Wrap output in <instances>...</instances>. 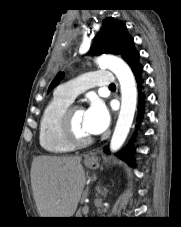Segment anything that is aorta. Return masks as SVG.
Returning a JSON list of instances; mask_svg holds the SVG:
<instances>
[{"mask_svg": "<svg viewBox=\"0 0 181 227\" xmlns=\"http://www.w3.org/2000/svg\"><path fill=\"white\" fill-rule=\"evenodd\" d=\"M97 63L111 70L120 83L121 108L110 142V150L116 152L125 142L133 122L137 104L136 82L129 66L119 57L101 55L97 58Z\"/></svg>", "mask_w": 181, "mask_h": 227, "instance_id": "1", "label": "aorta"}]
</instances>
